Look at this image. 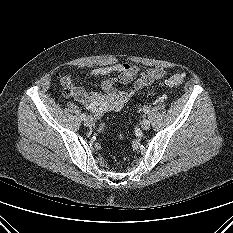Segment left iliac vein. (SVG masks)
Wrapping results in <instances>:
<instances>
[{
    "instance_id": "4c4485c4",
    "label": "left iliac vein",
    "mask_w": 233,
    "mask_h": 233,
    "mask_svg": "<svg viewBox=\"0 0 233 233\" xmlns=\"http://www.w3.org/2000/svg\"><path fill=\"white\" fill-rule=\"evenodd\" d=\"M149 127H150V122H149V120L143 119V121L141 122V128H142L143 130H148Z\"/></svg>"
}]
</instances>
